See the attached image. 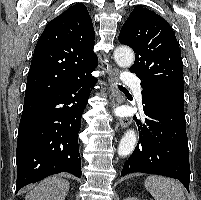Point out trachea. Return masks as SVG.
<instances>
[{
	"label": "trachea",
	"mask_w": 201,
	"mask_h": 200,
	"mask_svg": "<svg viewBox=\"0 0 201 200\" xmlns=\"http://www.w3.org/2000/svg\"><path fill=\"white\" fill-rule=\"evenodd\" d=\"M118 87H119V89H126V88H124V87H123V86H121V85H119Z\"/></svg>",
	"instance_id": "obj_1"
}]
</instances>
